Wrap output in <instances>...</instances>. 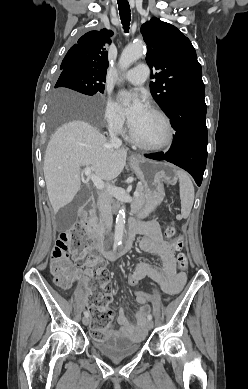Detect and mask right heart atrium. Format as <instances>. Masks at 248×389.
<instances>
[{"instance_id": "d8ad5b80", "label": "right heart atrium", "mask_w": 248, "mask_h": 389, "mask_svg": "<svg viewBox=\"0 0 248 389\" xmlns=\"http://www.w3.org/2000/svg\"><path fill=\"white\" fill-rule=\"evenodd\" d=\"M104 120L106 127L114 133H122L124 131V118L111 98H107L105 102Z\"/></svg>"}]
</instances>
